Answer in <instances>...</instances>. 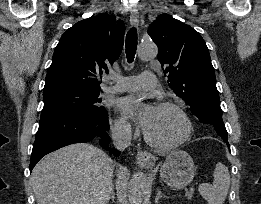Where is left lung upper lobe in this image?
I'll use <instances>...</instances> for the list:
<instances>
[{"label": "left lung upper lobe", "instance_id": "1", "mask_svg": "<svg viewBox=\"0 0 261 204\" xmlns=\"http://www.w3.org/2000/svg\"><path fill=\"white\" fill-rule=\"evenodd\" d=\"M148 34L158 47V60L169 87L202 123L213 125L217 134L226 139L215 71L201 35L167 14L152 22Z\"/></svg>", "mask_w": 261, "mask_h": 204}]
</instances>
